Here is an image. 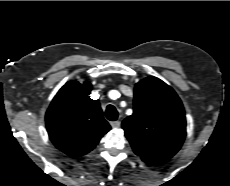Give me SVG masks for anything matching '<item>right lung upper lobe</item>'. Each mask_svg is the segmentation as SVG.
Segmentation results:
<instances>
[{
  "label": "right lung upper lobe",
  "mask_w": 230,
  "mask_h": 186,
  "mask_svg": "<svg viewBox=\"0 0 230 186\" xmlns=\"http://www.w3.org/2000/svg\"><path fill=\"white\" fill-rule=\"evenodd\" d=\"M91 84L66 83L46 113V128L53 144L72 157L90 152L110 129L99 102L90 99Z\"/></svg>",
  "instance_id": "cb5924a9"
}]
</instances>
